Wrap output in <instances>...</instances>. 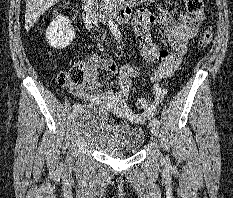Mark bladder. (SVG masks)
I'll use <instances>...</instances> for the list:
<instances>
[{
  "label": "bladder",
  "instance_id": "obj_1",
  "mask_svg": "<svg viewBox=\"0 0 233 198\" xmlns=\"http://www.w3.org/2000/svg\"><path fill=\"white\" fill-rule=\"evenodd\" d=\"M76 130L80 140L113 157L136 153L145 138L140 127L110 124L105 110L96 106H84L80 109L76 115Z\"/></svg>",
  "mask_w": 233,
  "mask_h": 198
}]
</instances>
